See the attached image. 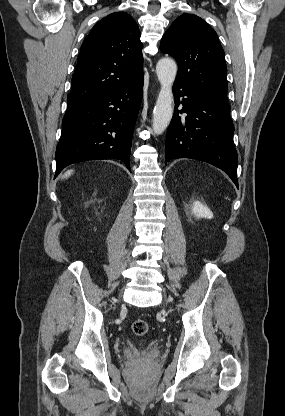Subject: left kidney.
Here are the masks:
<instances>
[{"label":"left kidney","instance_id":"1","mask_svg":"<svg viewBox=\"0 0 285 416\" xmlns=\"http://www.w3.org/2000/svg\"><path fill=\"white\" fill-rule=\"evenodd\" d=\"M192 212L196 218H208L211 220L213 218V214L207 206H203L201 202H193L192 204Z\"/></svg>","mask_w":285,"mask_h":416}]
</instances>
